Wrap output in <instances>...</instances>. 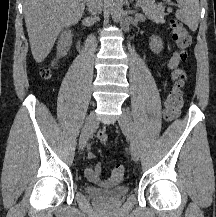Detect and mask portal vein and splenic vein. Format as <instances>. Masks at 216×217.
I'll list each match as a JSON object with an SVG mask.
<instances>
[{"label": "portal vein and splenic vein", "mask_w": 216, "mask_h": 217, "mask_svg": "<svg viewBox=\"0 0 216 217\" xmlns=\"http://www.w3.org/2000/svg\"><path fill=\"white\" fill-rule=\"evenodd\" d=\"M140 2H139V4H141L142 2H141V0H139ZM178 7H180L179 5H178Z\"/></svg>", "instance_id": "1"}]
</instances>
